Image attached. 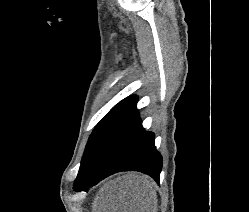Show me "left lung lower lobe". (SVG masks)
Masks as SVG:
<instances>
[{
    "instance_id": "left-lung-lower-lobe-1",
    "label": "left lung lower lobe",
    "mask_w": 249,
    "mask_h": 212,
    "mask_svg": "<svg viewBox=\"0 0 249 212\" xmlns=\"http://www.w3.org/2000/svg\"><path fill=\"white\" fill-rule=\"evenodd\" d=\"M136 104L107 131L88 164L76 178V191L88 190L109 175L140 171L159 183L162 156L154 145V134L145 131Z\"/></svg>"
}]
</instances>
